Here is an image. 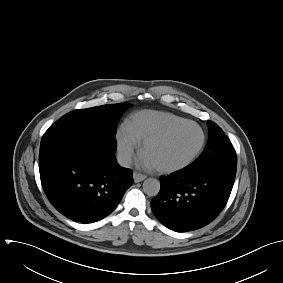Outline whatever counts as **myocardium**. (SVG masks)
Listing matches in <instances>:
<instances>
[{
    "label": "myocardium",
    "mask_w": 283,
    "mask_h": 283,
    "mask_svg": "<svg viewBox=\"0 0 283 283\" xmlns=\"http://www.w3.org/2000/svg\"><path fill=\"white\" fill-rule=\"evenodd\" d=\"M183 125H193L199 130V132L201 134V140H200L198 147L196 148L194 153L189 158H187L185 161H183V162H181L177 165L170 166V167H154L156 172H158L160 174H174V173L180 172V171L188 168L190 165H192L197 160V158L201 155V153H202V151H203V149L206 145V140H207L206 133H205L204 129L197 122L192 121V120H188V119L174 123V124L168 126L167 128L163 129L162 131L158 132L157 134L152 135V136L144 139L141 143V146H140L141 153L142 154L144 153L145 148L149 144L163 140L171 132H173L175 129H177L180 126H183Z\"/></svg>",
    "instance_id": "f54148a6"
}]
</instances>
